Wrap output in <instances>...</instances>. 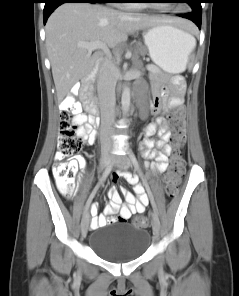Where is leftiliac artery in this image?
Wrapping results in <instances>:
<instances>
[{"label":"left iliac artery","instance_id":"left-iliac-artery-1","mask_svg":"<svg viewBox=\"0 0 239 296\" xmlns=\"http://www.w3.org/2000/svg\"><path fill=\"white\" fill-rule=\"evenodd\" d=\"M129 156H130V159L135 167V169L139 172V174L141 175L140 171H139V164L133 154V152L130 150L129 151ZM146 193H148V197H150V201H151V205L153 206L154 210L156 213H158L157 211V208H156V204H155V201H154V196H152V192H150V185L149 184H146ZM149 203V201H148Z\"/></svg>","mask_w":239,"mask_h":296}]
</instances>
